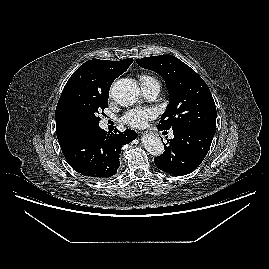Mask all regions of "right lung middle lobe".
<instances>
[{
	"mask_svg": "<svg viewBox=\"0 0 269 269\" xmlns=\"http://www.w3.org/2000/svg\"><path fill=\"white\" fill-rule=\"evenodd\" d=\"M109 92L88 91L75 87L69 91L63 101V113L72 125L80 128L99 126V114L108 107Z\"/></svg>",
	"mask_w": 269,
	"mask_h": 269,
	"instance_id": "right-lung-middle-lobe-1",
	"label": "right lung middle lobe"
}]
</instances>
